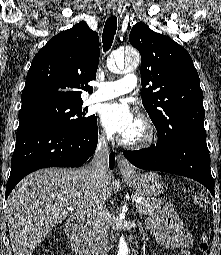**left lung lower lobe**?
Returning a JSON list of instances; mask_svg holds the SVG:
<instances>
[{
    "label": "left lung lower lobe",
    "mask_w": 221,
    "mask_h": 255,
    "mask_svg": "<svg viewBox=\"0 0 221 255\" xmlns=\"http://www.w3.org/2000/svg\"><path fill=\"white\" fill-rule=\"evenodd\" d=\"M124 156L141 169L192 178L203 184L214 195L206 136L188 134L174 142L158 140L154 148L125 151Z\"/></svg>",
    "instance_id": "1"
}]
</instances>
